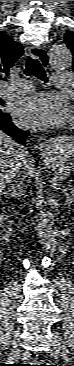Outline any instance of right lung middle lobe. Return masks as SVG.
<instances>
[{
    "mask_svg": "<svg viewBox=\"0 0 74 366\" xmlns=\"http://www.w3.org/2000/svg\"><path fill=\"white\" fill-rule=\"evenodd\" d=\"M2 104V101L0 100V105ZM4 113L0 110V115H3Z\"/></svg>",
    "mask_w": 74,
    "mask_h": 366,
    "instance_id": "dd1d6c3e",
    "label": "right lung middle lobe"
}]
</instances>
